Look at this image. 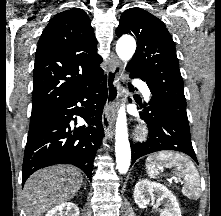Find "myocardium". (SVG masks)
Returning <instances> with one entry per match:
<instances>
[{
  "instance_id": "myocardium-1",
  "label": "myocardium",
  "mask_w": 221,
  "mask_h": 216,
  "mask_svg": "<svg viewBox=\"0 0 221 216\" xmlns=\"http://www.w3.org/2000/svg\"><path fill=\"white\" fill-rule=\"evenodd\" d=\"M143 133H144V130H141L139 134L142 135Z\"/></svg>"
}]
</instances>
